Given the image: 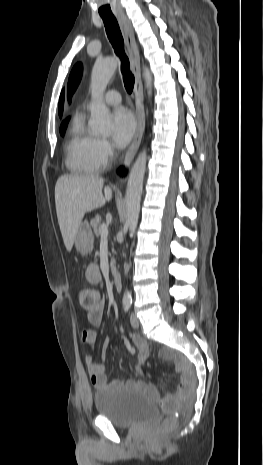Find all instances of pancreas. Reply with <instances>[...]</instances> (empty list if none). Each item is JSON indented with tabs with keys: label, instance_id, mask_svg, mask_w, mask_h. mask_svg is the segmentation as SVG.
<instances>
[{
	"label": "pancreas",
	"instance_id": "cf45deb5",
	"mask_svg": "<svg viewBox=\"0 0 263 465\" xmlns=\"http://www.w3.org/2000/svg\"><path fill=\"white\" fill-rule=\"evenodd\" d=\"M91 226L94 230V234L96 236L100 235V230H101V226H102V223H101V217L99 215H97L95 218H93L91 220ZM114 259L111 260V269H113L114 267Z\"/></svg>",
	"mask_w": 263,
	"mask_h": 465
}]
</instances>
